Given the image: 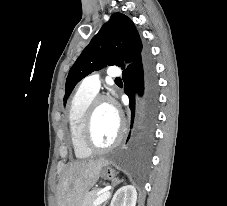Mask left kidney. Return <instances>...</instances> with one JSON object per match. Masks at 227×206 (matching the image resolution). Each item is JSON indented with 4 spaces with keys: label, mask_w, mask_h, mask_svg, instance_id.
Instances as JSON below:
<instances>
[{
    "label": "left kidney",
    "mask_w": 227,
    "mask_h": 206,
    "mask_svg": "<svg viewBox=\"0 0 227 206\" xmlns=\"http://www.w3.org/2000/svg\"><path fill=\"white\" fill-rule=\"evenodd\" d=\"M137 191L133 185H125L114 194L110 206H136Z\"/></svg>",
    "instance_id": "5707ae66"
}]
</instances>
